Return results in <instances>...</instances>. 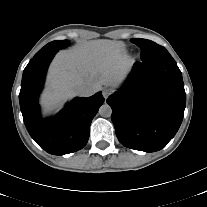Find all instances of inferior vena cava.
<instances>
[{
    "instance_id": "1",
    "label": "inferior vena cava",
    "mask_w": 207,
    "mask_h": 207,
    "mask_svg": "<svg viewBox=\"0 0 207 207\" xmlns=\"http://www.w3.org/2000/svg\"><path fill=\"white\" fill-rule=\"evenodd\" d=\"M96 92L95 88L88 84H80L76 87V93L80 96L88 97Z\"/></svg>"
}]
</instances>
